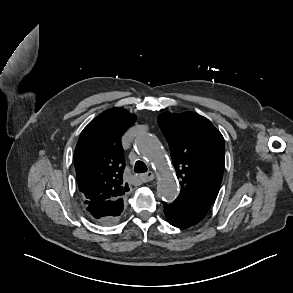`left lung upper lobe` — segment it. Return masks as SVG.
Returning a JSON list of instances; mask_svg holds the SVG:
<instances>
[{"label": "left lung upper lobe", "instance_id": "1", "mask_svg": "<svg viewBox=\"0 0 293 293\" xmlns=\"http://www.w3.org/2000/svg\"><path fill=\"white\" fill-rule=\"evenodd\" d=\"M159 126L167 139L180 179L178 200L208 212L222 182L225 143L222 134L196 113H162Z\"/></svg>", "mask_w": 293, "mask_h": 293}]
</instances>
